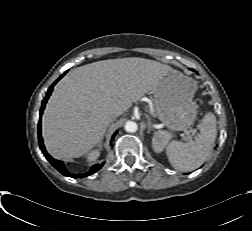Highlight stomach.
<instances>
[{"mask_svg":"<svg viewBox=\"0 0 252 231\" xmlns=\"http://www.w3.org/2000/svg\"><path fill=\"white\" fill-rule=\"evenodd\" d=\"M197 89L195 80L176 70H169L152 89L158 119L172 131L191 127L197 106L193 101Z\"/></svg>","mask_w":252,"mask_h":231,"instance_id":"obj_1","label":"stomach"}]
</instances>
